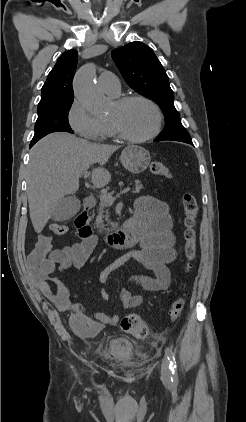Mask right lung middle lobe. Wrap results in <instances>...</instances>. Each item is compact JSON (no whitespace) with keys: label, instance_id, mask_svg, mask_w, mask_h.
<instances>
[{"label":"right lung middle lobe","instance_id":"dd1d6c3e","mask_svg":"<svg viewBox=\"0 0 246 422\" xmlns=\"http://www.w3.org/2000/svg\"><path fill=\"white\" fill-rule=\"evenodd\" d=\"M74 99L60 100L38 107V118L35 124V134L30 144L53 132L74 133L68 122V113Z\"/></svg>","mask_w":246,"mask_h":422}]
</instances>
